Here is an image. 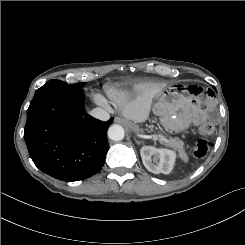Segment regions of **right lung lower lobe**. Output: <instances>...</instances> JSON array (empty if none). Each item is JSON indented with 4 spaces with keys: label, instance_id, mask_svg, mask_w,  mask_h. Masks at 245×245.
<instances>
[{
    "label": "right lung lower lobe",
    "instance_id": "98d812e1",
    "mask_svg": "<svg viewBox=\"0 0 245 245\" xmlns=\"http://www.w3.org/2000/svg\"><path fill=\"white\" fill-rule=\"evenodd\" d=\"M81 88L48 87L35 93L27 110L24 138L31 159L44 173L78 181L98 173L109 149L107 129L85 114Z\"/></svg>",
    "mask_w": 245,
    "mask_h": 245
}]
</instances>
